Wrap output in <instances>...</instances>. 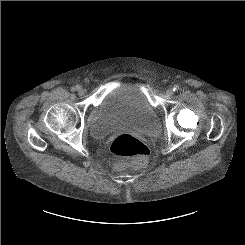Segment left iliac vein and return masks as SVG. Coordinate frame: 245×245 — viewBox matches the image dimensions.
Returning a JSON list of instances; mask_svg holds the SVG:
<instances>
[{"label": "left iliac vein", "instance_id": "left-iliac-vein-1", "mask_svg": "<svg viewBox=\"0 0 245 245\" xmlns=\"http://www.w3.org/2000/svg\"><path fill=\"white\" fill-rule=\"evenodd\" d=\"M166 95L167 96H172L173 95V90L172 89H168L167 91H166Z\"/></svg>", "mask_w": 245, "mask_h": 245}]
</instances>
